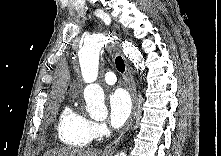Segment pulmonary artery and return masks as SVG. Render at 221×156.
<instances>
[{
	"mask_svg": "<svg viewBox=\"0 0 221 156\" xmlns=\"http://www.w3.org/2000/svg\"><path fill=\"white\" fill-rule=\"evenodd\" d=\"M104 81L109 85H113L116 82L115 74L111 71L106 72L104 75Z\"/></svg>",
	"mask_w": 221,
	"mask_h": 156,
	"instance_id": "obj_1",
	"label": "pulmonary artery"
}]
</instances>
